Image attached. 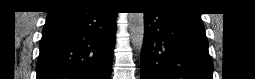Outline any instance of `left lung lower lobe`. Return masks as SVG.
Here are the masks:
<instances>
[{
  "label": "left lung lower lobe",
  "mask_w": 255,
  "mask_h": 79,
  "mask_svg": "<svg viewBox=\"0 0 255 79\" xmlns=\"http://www.w3.org/2000/svg\"><path fill=\"white\" fill-rule=\"evenodd\" d=\"M146 12L141 79H212L213 64L200 14L159 6Z\"/></svg>",
  "instance_id": "0a47b994"
}]
</instances>
